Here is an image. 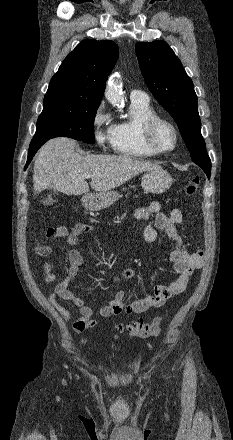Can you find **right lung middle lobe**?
I'll return each mask as SVG.
<instances>
[{
  "label": "right lung middle lobe",
  "mask_w": 233,
  "mask_h": 440,
  "mask_svg": "<svg viewBox=\"0 0 233 440\" xmlns=\"http://www.w3.org/2000/svg\"><path fill=\"white\" fill-rule=\"evenodd\" d=\"M100 103L72 100L43 102L33 139L69 137L94 144L93 124Z\"/></svg>",
  "instance_id": "1"
}]
</instances>
